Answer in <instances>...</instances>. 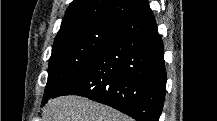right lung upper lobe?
Wrapping results in <instances>:
<instances>
[{
	"mask_svg": "<svg viewBox=\"0 0 217 121\" xmlns=\"http://www.w3.org/2000/svg\"><path fill=\"white\" fill-rule=\"evenodd\" d=\"M148 7L147 0H73L66 10L56 37L79 24L93 20L128 22Z\"/></svg>",
	"mask_w": 217,
	"mask_h": 121,
	"instance_id": "obj_1",
	"label": "right lung upper lobe"
}]
</instances>
